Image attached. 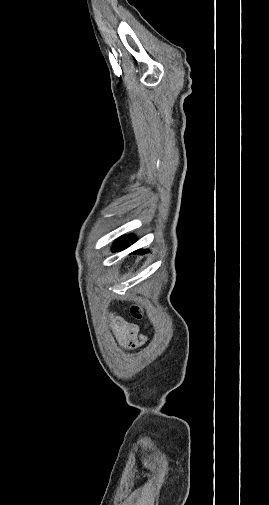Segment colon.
Returning a JSON list of instances; mask_svg holds the SVG:
<instances>
[{
  "label": "colon",
  "mask_w": 269,
  "mask_h": 505,
  "mask_svg": "<svg viewBox=\"0 0 269 505\" xmlns=\"http://www.w3.org/2000/svg\"><path fill=\"white\" fill-rule=\"evenodd\" d=\"M130 313L136 319H142L143 317V311L138 305H133L130 309Z\"/></svg>",
  "instance_id": "colon-1"
}]
</instances>
